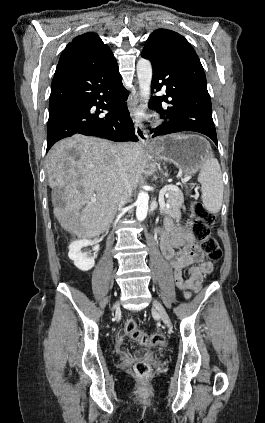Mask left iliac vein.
<instances>
[{
    "instance_id": "1",
    "label": "left iliac vein",
    "mask_w": 265,
    "mask_h": 423,
    "mask_svg": "<svg viewBox=\"0 0 265 423\" xmlns=\"http://www.w3.org/2000/svg\"><path fill=\"white\" fill-rule=\"evenodd\" d=\"M153 307H154L155 310L158 311L160 318L164 322V324L170 328L171 327V321H170V318H169L166 310L162 306V304L160 302H158L157 300H154L153 301Z\"/></svg>"
}]
</instances>
